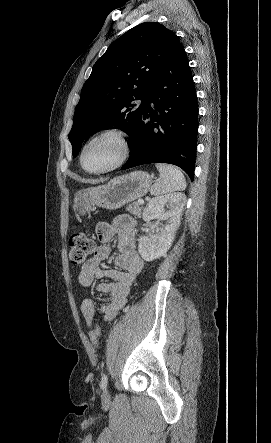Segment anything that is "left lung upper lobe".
I'll return each mask as SVG.
<instances>
[{
    "instance_id": "5c2ea615",
    "label": "left lung upper lobe",
    "mask_w": 271,
    "mask_h": 443,
    "mask_svg": "<svg viewBox=\"0 0 271 443\" xmlns=\"http://www.w3.org/2000/svg\"><path fill=\"white\" fill-rule=\"evenodd\" d=\"M179 45L173 31L160 23L146 22L109 46L94 64L75 108L68 135L74 157L83 141L101 127H120L132 136L144 113L151 80ZM136 100L142 103L136 105Z\"/></svg>"
}]
</instances>
